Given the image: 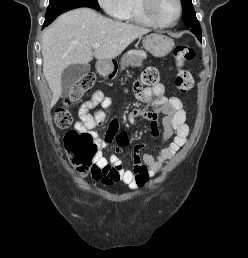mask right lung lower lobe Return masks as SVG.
<instances>
[{
    "label": "right lung lower lobe",
    "instance_id": "right-lung-lower-lobe-1",
    "mask_svg": "<svg viewBox=\"0 0 248 258\" xmlns=\"http://www.w3.org/2000/svg\"><path fill=\"white\" fill-rule=\"evenodd\" d=\"M54 19H55V18H54ZM54 19L45 21L44 24H43V27L48 26Z\"/></svg>",
    "mask_w": 248,
    "mask_h": 258
}]
</instances>
